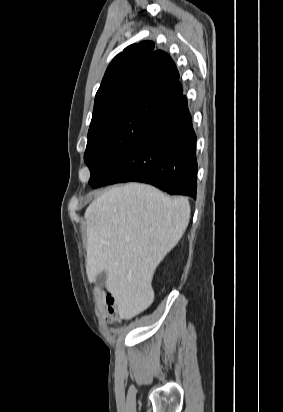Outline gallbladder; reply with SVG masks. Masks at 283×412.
Segmentation results:
<instances>
[{
  "label": "gallbladder",
  "instance_id": "obj_1",
  "mask_svg": "<svg viewBox=\"0 0 283 412\" xmlns=\"http://www.w3.org/2000/svg\"><path fill=\"white\" fill-rule=\"evenodd\" d=\"M107 274L105 271L100 272L96 275L95 285L99 288H104L106 285Z\"/></svg>",
  "mask_w": 283,
  "mask_h": 412
}]
</instances>
